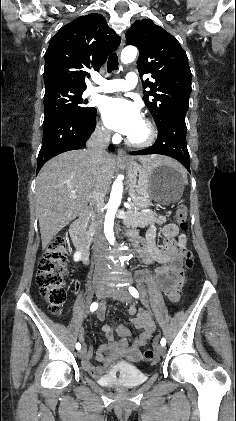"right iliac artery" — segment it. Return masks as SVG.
Returning a JSON list of instances; mask_svg holds the SVG:
<instances>
[{
	"label": "right iliac artery",
	"instance_id": "1",
	"mask_svg": "<svg viewBox=\"0 0 236 421\" xmlns=\"http://www.w3.org/2000/svg\"><path fill=\"white\" fill-rule=\"evenodd\" d=\"M98 308V303L94 302L91 304L90 306V310L93 312ZM76 349L80 350L81 349V344L80 343H76Z\"/></svg>",
	"mask_w": 236,
	"mask_h": 421
}]
</instances>
